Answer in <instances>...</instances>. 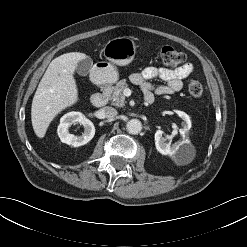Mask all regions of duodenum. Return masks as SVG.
<instances>
[{
	"label": "duodenum",
	"mask_w": 247,
	"mask_h": 247,
	"mask_svg": "<svg viewBox=\"0 0 247 247\" xmlns=\"http://www.w3.org/2000/svg\"><path fill=\"white\" fill-rule=\"evenodd\" d=\"M110 96V88L104 87L99 92L93 94L90 98L91 104L95 107H102L106 105ZM145 104H151L153 99L145 98Z\"/></svg>",
	"instance_id": "410a0bca"
}]
</instances>
